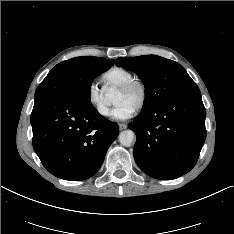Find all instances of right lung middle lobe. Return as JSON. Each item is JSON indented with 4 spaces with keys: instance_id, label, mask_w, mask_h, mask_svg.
Wrapping results in <instances>:
<instances>
[{
    "instance_id": "obj_1",
    "label": "right lung middle lobe",
    "mask_w": 234,
    "mask_h": 234,
    "mask_svg": "<svg viewBox=\"0 0 234 234\" xmlns=\"http://www.w3.org/2000/svg\"><path fill=\"white\" fill-rule=\"evenodd\" d=\"M112 65L91 63L76 57L57 64L40 83L35 98L43 95L67 96L85 106L90 101V86L93 79Z\"/></svg>"
}]
</instances>
